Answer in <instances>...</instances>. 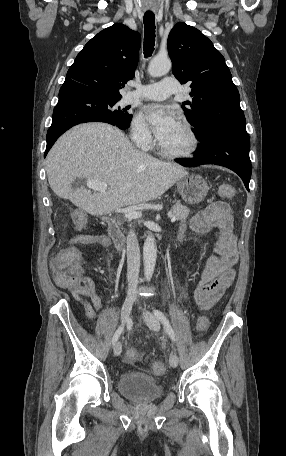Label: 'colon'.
I'll use <instances>...</instances> for the list:
<instances>
[{"label": "colon", "instance_id": "5ec220e1", "mask_svg": "<svg viewBox=\"0 0 286 456\" xmlns=\"http://www.w3.org/2000/svg\"><path fill=\"white\" fill-rule=\"evenodd\" d=\"M221 196L232 197L235 195V188L229 184H222L218 187ZM75 224L78 227L85 225V219L81 215L75 216ZM80 253L71 246L63 248L53 259L52 266L55 271L56 283L70 291L79 290L85 283L84 271L80 266ZM209 325L206 316H201L196 321V329L204 332ZM140 355L136 351H129L126 355V362L129 364L137 363ZM153 373L157 376L165 373V365L161 361H155L152 365Z\"/></svg>", "mask_w": 286, "mask_h": 456}]
</instances>
